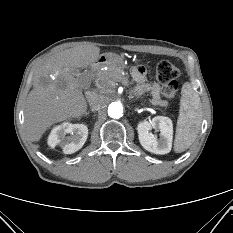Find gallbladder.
<instances>
[{
  "label": "gallbladder",
  "instance_id": "1",
  "mask_svg": "<svg viewBox=\"0 0 233 233\" xmlns=\"http://www.w3.org/2000/svg\"><path fill=\"white\" fill-rule=\"evenodd\" d=\"M75 73H79V70L78 71H75ZM79 76V75H78Z\"/></svg>",
  "mask_w": 233,
  "mask_h": 233
}]
</instances>
